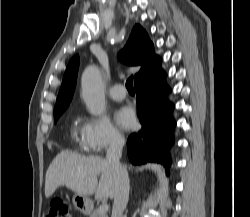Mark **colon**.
Here are the masks:
<instances>
[{"label":"colon","instance_id":"colon-1","mask_svg":"<svg viewBox=\"0 0 250 217\" xmlns=\"http://www.w3.org/2000/svg\"><path fill=\"white\" fill-rule=\"evenodd\" d=\"M46 217H71L68 205L62 200L51 202Z\"/></svg>","mask_w":250,"mask_h":217}]
</instances>
